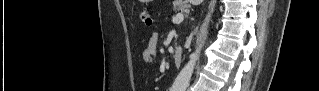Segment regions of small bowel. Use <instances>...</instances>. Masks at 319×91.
Listing matches in <instances>:
<instances>
[{
    "label": "small bowel",
    "mask_w": 319,
    "mask_h": 91,
    "mask_svg": "<svg viewBox=\"0 0 319 91\" xmlns=\"http://www.w3.org/2000/svg\"><path fill=\"white\" fill-rule=\"evenodd\" d=\"M159 41V36L157 33L151 34L148 39L147 45L142 52V61L145 64H154L156 61V52H157V45Z\"/></svg>",
    "instance_id": "obj_1"
}]
</instances>
